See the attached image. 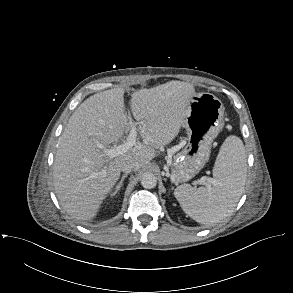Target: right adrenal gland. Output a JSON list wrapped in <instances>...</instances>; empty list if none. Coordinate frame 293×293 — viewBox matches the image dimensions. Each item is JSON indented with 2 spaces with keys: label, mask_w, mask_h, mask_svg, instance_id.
I'll return each mask as SVG.
<instances>
[{
  "label": "right adrenal gland",
  "mask_w": 293,
  "mask_h": 293,
  "mask_svg": "<svg viewBox=\"0 0 293 293\" xmlns=\"http://www.w3.org/2000/svg\"><path fill=\"white\" fill-rule=\"evenodd\" d=\"M126 177H127V174H124V175L122 176L120 182H119L118 185L116 186V189H115V191L111 194V196H115V195L119 192V190H120V188L122 187L123 182H124V180H125Z\"/></svg>",
  "instance_id": "right-adrenal-gland-1"
}]
</instances>
